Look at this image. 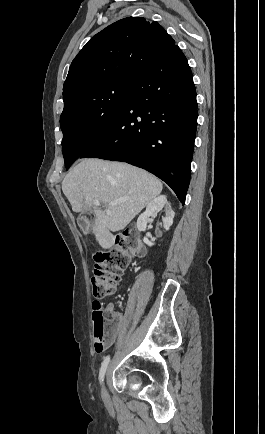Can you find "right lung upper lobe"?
Returning a JSON list of instances; mask_svg holds the SVG:
<instances>
[{
	"label": "right lung upper lobe",
	"instance_id": "cb5924a9",
	"mask_svg": "<svg viewBox=\"0 0 265 434\" xmlns=\"http://www.w3.org/2000/svg\"><path fill=\"white\" fill-rule=\"evenodd\" d=\"M174 45L175 41L156 21L121 19L93 36L74 58L63 93L108 76L136 77Z\"/></svg>",
	"mask_w": 265,
	"mask_h": 434
}]
</instances>
